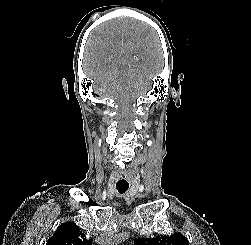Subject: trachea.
Here are the masks:
<instances>
[{
  "label": "trachea",
  "instance_id": "obj_1",
  "mask_svg": "<svg viewBox=\"0 0 251 245\" xmlns=\"http://www.w3.org/2000/svg\"><path fill=\"white\" fill-rule=\"evenodd\" d=\"M116 188L119 193H125L129 188V184L127 182L119 181L116 183Z\"/></svg>",
  "mask_w": 251,
  "mask_h": 245
}]
</instances>
